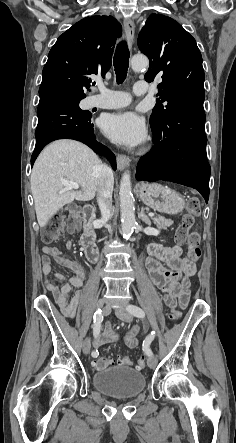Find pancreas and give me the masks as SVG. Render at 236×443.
<instances>
[{"mask_svg":"<svg viewBox=\"0 0 236 443\" xmlns=\"http://www.w3.org/2000/svg\"><path fill=\"white\" fill-rule=\"evenodd\" d=\"M153 223L156 225L158 229H167L173 224V221L170 219H165L162 216L152 217Z\"/></svg>","mask_w":236,"mask_h":443,"instance_id":"obj_1","label":"pancreas"}]
</instances>
